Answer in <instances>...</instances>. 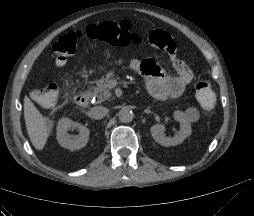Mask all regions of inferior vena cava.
<instances>
[{
	"instance_id": "602c4592",
	"label": "inferior vena cava",
	"mask_w": 254,
	"mask_h": 216,
	"mask_svg": "<svg viewBox=\"0 0 254 216\" xmlns=\"http://www.w3.org/2000/svg\"><path fill=\"white\" fill-rule=\"evenodd\" d=\"M108 113V109L103 106H96L90 110V116L94 119H102Z\"/></svg>"
}]
</instances>
